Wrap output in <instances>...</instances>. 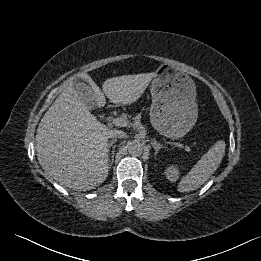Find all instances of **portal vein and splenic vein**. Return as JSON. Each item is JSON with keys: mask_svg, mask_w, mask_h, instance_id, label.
I'll list each match as a JSON object with an SVG mask.
<instances>
[{"mask_svg": "<svg viewBox=\"0 0 261 261\" xmlns=\"http://www.w3.org/2000/svg\"><path fill=\"white\" fill-rule=\"evenodd\" d=\"M113 124L115 126H119V127H126L128 125V121L126 119H124V118H115V119H113ZM178 146L182 147L187 152L191 151V149H190V147L188 145L179 143Z\"/></svg>", "mask_w": 261, "mask_h": 261, "instance_id": "portal-vein-and-splenic-vein-1", "label": "portal vein and splenic vein"}]
</instances>
